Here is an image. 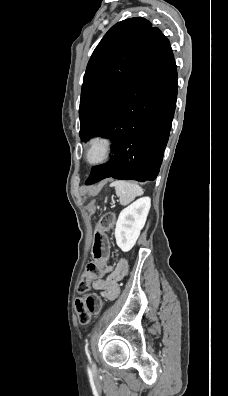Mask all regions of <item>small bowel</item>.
<instances>
[{
    "instance_id": "small-bowel-1",
    "label": "small bowel",
    "mask_w": 228,
    "mask_h": 396,
    "mask_svg": "<svg viewBox=\"0 0 228 396\" xmlns=\"http://www.w3.org/2000/svg\"><path fill=\"white\" fill-rule=\"evenodd\" d=\"M128 263L125 259L119 260L114 266H105L106 277L95 278L92 287L100 292L101 297L107 300H114L120 293L118 282L127 274Z\"/></svg>"
}]
</instances>
